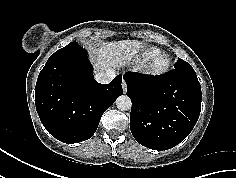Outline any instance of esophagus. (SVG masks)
<instances>
[{"mask_svg":"<svg viewBox=\"0 0 236 178\" xmlns=\"http://www.w3.org/2000/svg\"><path fill=\"white\" fill-rule=\"evenodd\" d=\"M122 88H123V92L126 93L127 92V84L124 79L122 80Z\"/></svg>","mask_w":236,"mask_h":178,"instance_id":"esophagus-1","label":"esophagus"}]
</instances>
